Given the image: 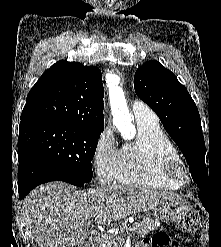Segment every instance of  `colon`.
<instances>
[{
    "label": "colon",
    "instance_id": "obj_1",
    "mask_svg": "<svg viewBox=\"0 0 221 247\" xmlns=\"http://www.w3.org/2000/svg\"><path fill=\"white\" fill-rule=\"evenodd\" d=\"M198 225L199 214L193 212L183 220L181 232L173 239L165 234H156L147 242H149L152 247H184L188 242V236L197 230ZM78 247L88 246L86 244H81Z\"/></svg>",
    "mask_w": 221,
    "mask_h": 247
}]
</instances>
